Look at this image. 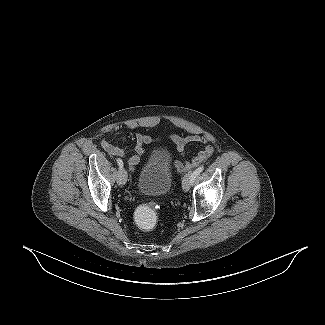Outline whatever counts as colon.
<instances>
[{
  "label": "colon",
  "mask_w": 325,
  "mask_h": 325,
  "mask_svg": "<svg viewBox=\"0 0 325 325\" xmlns=\"http://www.w3.org/2000/svg\"><path fill=\"white\" fill-rule=\"evenodd\" d=\"M136 224L142 230L153 229L158 222V213L153 203H146L137 208L134 214Z\"/></svg>",
  "instance_id": "1"
}]
</instances>
